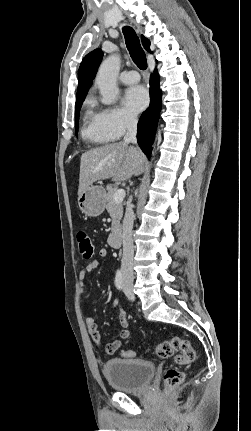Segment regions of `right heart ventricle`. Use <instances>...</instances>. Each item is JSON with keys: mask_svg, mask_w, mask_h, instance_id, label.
<instances>
[{"mask_svg": "<svg viewBox=\"0 0 251 431\" xmlns=\"http://www.w3.org/2000/svg\"><path fill=\"white\" fill-rule=\"evenodd\" d=\"M82 136L94 143H107L112 138L104 131L99 119V112L93 109L92 101L88 100L83 117Z\"/></svg>", "mask_w": 251, "mask_h": 431, "instance_id": "1", "label": "right heart ventricle"}]
</instances>
